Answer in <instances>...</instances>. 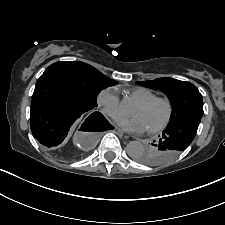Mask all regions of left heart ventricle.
Instances as JSON below:
<instances>
[{
  "label": "left heart ventricle",
  "mask_w": 225,
  "mask_h": 225,
  "mask_svg": "<svg viewBox=\"0 0 225 225\" xmlns=\"http://www.w3.org/2000/svg\"><path fill=\"white\" fill-rule=\"evenodd\" d=\"M133 116L140 117L147 129L160 125L167 116V107L162 102L154 103L149 107L135 105L131 111Z\"/></svg>",
  "instance_id": "1"
}]
</instances>
